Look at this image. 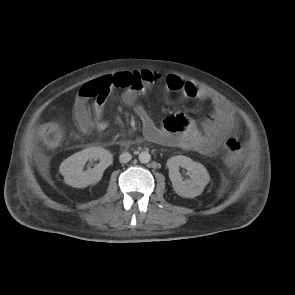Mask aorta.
Wrapping results in <instances>:
<instances>
[{
	"instance_id": "obj_1",
	"label": "aorta",
	"mask_w": 295,
	"mask_h": 295,
	"mask_svg": "<svg viewBox=\"0 0 295 295\" xmlns=\"http://www.w3.org/2000/svg\"><path fill=\"white\" fill-rule=\"evenodd\" d=\"M138 158L141 163H148L151 160L150 154L146 151L141 152Z\"/></svg>"
}]
</instances>
